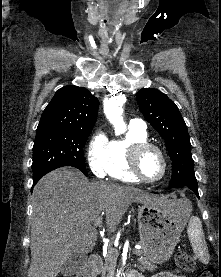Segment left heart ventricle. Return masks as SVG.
Here are the masks:
<instances>
[{"label": "left heart ventricle", "instance_id": "left-heart-ventricle-1", "mask_svg": "<svg viewBox=\"0 0 221 277\" xmlns=\"http://www.w3.org/2000/svg\"><path fill=\"white\" fill-rule=\"evenodd\" d=\"M162 161L159 154L154 150L147 151L141 158L140 169L148 179H156L162 173Z\"/></svg>", "mask_w": 221, "mask_h": 277}]
</instances>
